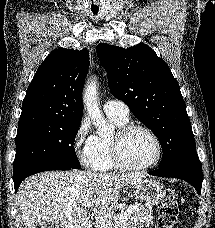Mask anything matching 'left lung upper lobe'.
Masks as SVG:
<instances>
[{"instance_id": "left-lung-upper-lobe-1", "label": "left lung upper lobe", "mask_w": 215, "mask_h": 228, "mask_svg": "<svg viewBox=\"0 0 215 228\" xmlns=\"http://www.w3.org/2000/svg\"><path fill=\"white\" fill-rule=\"evenodd\" d=\"M110 91L157 136L163 167L196 151L191 123L179 85L168 65L146 44L121 48L97 45Z\"/></svg>"}]
</instances>
